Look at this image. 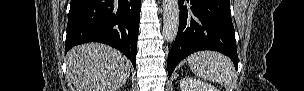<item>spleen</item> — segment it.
<instances>
[{
    "label": "spleen",
    "instance_id": "1",
    "mask_svg": "<svg viewBox=\"0 0 304 91\" xmlns=\"http://www.w3.org/2000/svg\"><path fill=\"white\" fill-rule=\"evenodd\" d=\"M192 72L200 78L229 86L234 77L233 64L224 55L214 51H201L188 57Z\"/></svg>",
    "mask_w": 304,
    "mask_h": 91
}]
</instances>
